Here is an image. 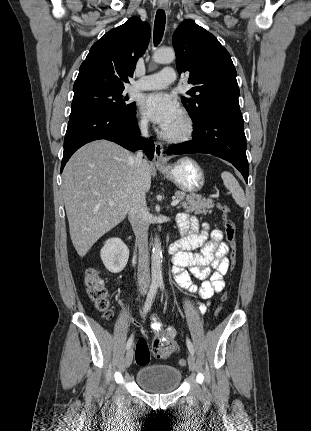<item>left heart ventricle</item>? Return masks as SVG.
I'll return each mask as SVG.
<instances>
[{
	"mask_svg": "<svg viewBox=\"0 0 311 431\" xmlns=\"http://www.w3.org/2000/svg\"><path fill=\"white\" fill-rule=\"evenodd\" d=\"M184 130H185V123L182 117L180 116L179 119L165 131V133L168 135H174V134L182 133Z\"/></svg>",
	"mask_w": 311,
	"mask_h": 431,
	"instance_id": "1",
	"label": "left heart ventricle"
}]
</instances>
